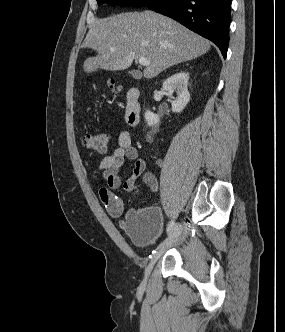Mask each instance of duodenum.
Wrapping results in <instances>:
<instances>
[{
    "mask_svg": "<svg viewBox=\"0 0 285 332\" xmlns=\"http://www.w3.org/2000/svg\"><path fill=\"white\" fill-rule=\"evenodd\" d=\"M141 119L140 91L132 87L127 91L125 104V121L129 126L135 127Z\"/></svg>",
    "mask_w": 285,
    "mask_h": 332,
    "instance_id": "410a0bca",
    "label": "duodenum"
}]
</instances>
